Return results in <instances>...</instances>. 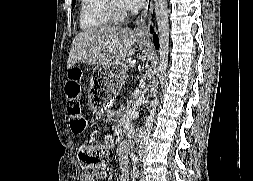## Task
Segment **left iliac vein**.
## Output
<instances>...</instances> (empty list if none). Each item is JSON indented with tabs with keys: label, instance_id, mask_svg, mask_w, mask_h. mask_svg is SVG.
<instances>
[{
	"label": "left iliac vein",
	"instance_id": "1",
	"mask_svg": "<svg viewBox=\"0 0 253 181\" xmlns=\"http://www.w3.org/2000/svg\"><path fill=\"white\" fill-rule=\"evenodd\" d=\"M141 181H145V175H144V172H142V174H141Z\"/></svg>",
	"mask_w": 253,
	"mask_h": 181
}]
</instances>
